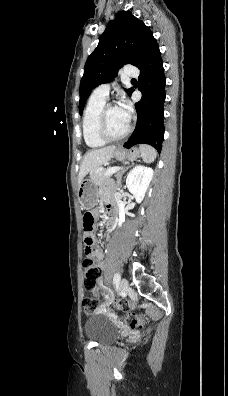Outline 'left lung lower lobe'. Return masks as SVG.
I'll list each match as a JSON object with an SVG mask.
<instances>
[{
  "label": "left lung lower lobe",
  "instance_id": "0a47b994",
  "mask_svg": "<svg viewBox=\"0 0 228 396\" xmlns=\"http://www.w3.org/2000/svg\"><path fill=\"white\" fill-rule=\"evenodd\" d=\"M139 70V90L143 93V97L135 104L138 115L137 127L124 147L130 148L137 144H149L158 152H161L164 139L166 80L161 53L156 40L151 44L145 61L139 67Z\"/></svg>",
  "mask_w": 228,
  "mask_h": 396
}]
</instances>
